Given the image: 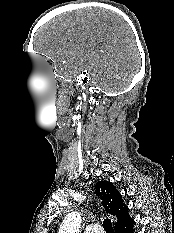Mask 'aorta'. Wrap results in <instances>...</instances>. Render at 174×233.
<instances>
[{
	"label": "aorta",
	"mask_w": 174,
	"mask_h": 233,
	"mask_svg": "<svg viewBox=\"0 0 174 233\" xmlns=\"http://www.w3.org/2000/svg\"><path fill=\"white\" fill-rule=\"evenodd\" d=\"M81 226V216L79 212H70L63 219L59 233H79Z\"/></svg>",
	"instance_id": "1"
}]
</instances>
